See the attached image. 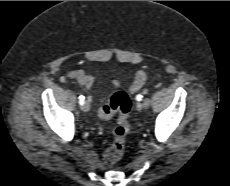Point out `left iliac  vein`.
Returning <instances> with one entry per match:
<instances>
[{"label":"left iliac vein","mask_w":230,"mask_h":186,"mask_svg":"<svg viewBox=\"0 0 230 186\" xmlns=\"http://www.w3.org/2000/svg\"><path fill=\"white\" fill-rule=\"evenodd\" d=\"M150 106V100L148 98L144 99L142 103L138 105L141 109H147Z\"/></svg>","instance_id":"1"}]
</instances>
